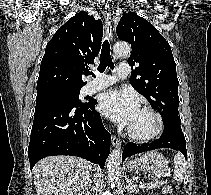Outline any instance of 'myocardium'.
Instances as JSON below:
<instances>
[{
  "label": "myocardium",
  "instance_id": "obj_1",
  "mask_svg": "<svg viewBox=\"0 0 211 195\" xmlns=\"http://www.w3.org/2000/svg\"><path fill=\"white\" fill-rule=\"evenodd\" d=\"M140 110L150 113L155 118L156 128L154 129L153 132H151L147 135H139V134L133 132L130 128H128V130H127L128 137L134 141L142 142V143L149 142V141H152V140L158 138L162 134L163 129H164V121H163L161 114L156 109H154L152 107H148V106H144Z\"/></svg>",
  "mask_w": 211,
  "mask_h": 195
}]
</instances>
